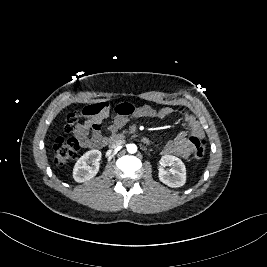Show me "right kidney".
Wrapping results in <instances>:
<instances>
[{"label": "right kidney", "mask_w": 267, "mask_h": 267, "mask_svg": "<svg viewBox=\"0 0 267 267\" xmlns=\"http://www.w3.org/2000/svg\"><path fill=\"white\" fill-rule=\"evenodd\" d=\"M101 156V151L95 149L81 156L73 169L74 180L82 183L95 177L99 170Z\"/></svg>", "instance_id": "ca27d5eb"}]
</instances>
